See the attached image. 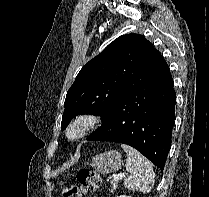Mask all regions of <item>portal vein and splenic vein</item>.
I'll return each mask as SVG.
<instances>
[{"label": "portal vein and splenic vein", "instance_id": "obj_1", "mask_svg": "<svg viewBox=\"0 0 209 197\" xmlns=\"http://www.w3.org/2000/svg\"><path fill=\"white\" fill-rule=\"evenodd\" d=\"M125 177V174H118L114 176V182H118L119 180H121L122 178Z\"/></svg>", "mask_w": 209, "mask_h": 197}]
</instances>
